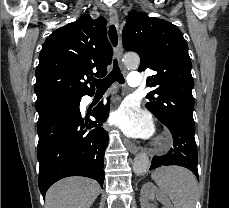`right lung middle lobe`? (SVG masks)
Wrapping results in <instances>:
<instances>
[{
  "instance_id": "1",
  "label": "right lung middle lobe",
  "mask_w": 229,
  "mask_h": 208,
  "mask_svg": "<svg viewBox=\"0 0 229 208\" xmlns=\"http://www.w3.org/2000/svg\"><path fill=\"white\" fill-rule=\"evenodd\" d=\"M81 98L56 97L36 103V110L39 114L38 124H41L55 113L74 106L79 103Z\"/></svg>"
}]
</instances>
